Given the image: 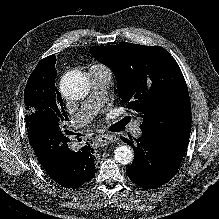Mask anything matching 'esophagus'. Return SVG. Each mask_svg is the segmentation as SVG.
<instances>
[{
    "instance_id": "34e87169",
    "label": "esophagus",
    "mask_w": 219,
    "mask_h": 219,
    "mask_svg": "<svg viewBox=\"0 0 219 219\" xmlns=\"http://www.w3.org/2000/svg\"><path fill=\"white\" fill-rule=\"evenodd\" d=\"M98 141L101 145H107L109 143L115 142L116 138L113 135L100 134L98 135Z\"/></svg>"
}]
</instances>
